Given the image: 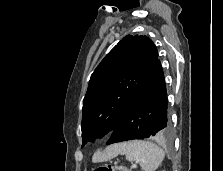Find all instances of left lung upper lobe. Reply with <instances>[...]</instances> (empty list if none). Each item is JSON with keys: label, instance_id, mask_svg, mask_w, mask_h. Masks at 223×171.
<instances>
[{"label": "left lung upper lobe", "instance_id": "5c2ea615", "mask_svg": "<svg viewBox=\"0 0 223 171\" xmlns=\"http://www.w3.org/2000/svg\"><path fill=\"white\" fill-rule=\"evenodd\" d=\"M158 58L146 36L127 35L105 56L91 75L83 100V145L113 131Z\"/></svg>", "mask_w": 223, "mask_h": 171}]
</instances>
